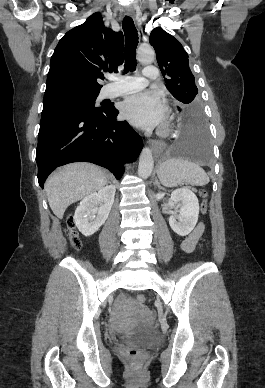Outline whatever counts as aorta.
I'll list each match as a JSON object with an SVG mask.
<instances>
[{"label": "aorta", "mask_w": 265, "mask_h": 388, "mask_svg": "<svg viewBox=\"0 0 265 388\" xmlns=\"http://www.w3.org/2000/svg\"><path fill=\"white\" fill-rule=\"evenodd\" d=\"M154 59V51L151 48L142 49L139 52V60L143 63H151ZM154 167V160L151 150L148 147L143 148L140 158H139V166H138V175L146 179L148 178Z\"/></svg>", "instance_id": "762f6f07"}]
</instances>
